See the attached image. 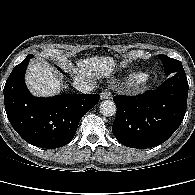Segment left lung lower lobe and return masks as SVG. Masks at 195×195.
Segmentation results:
<instances>
[{"mask_svg": "<svg viewBox=\"0 0 195 195\" xmlns=\"http://www.w3.org/2000/svg\"><path fill=\"white\" fill-rule=\"evenodd\" d=\"M185 73H174L156 90L138 96L117 95L112 132L123 145L151 148L165 142L185 116L188 96Z\"/></svg>", "mask_w": 195, "mask_h": 195, "instance_id": "left-lung-lower-lobe-1", "label": "left lung lower lobe"}]
</instances>
